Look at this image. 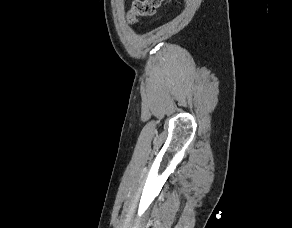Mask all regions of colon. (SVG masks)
I'll return each instance as SVG.
<instances>
[{
    "instance_id": "1",
    "label": "colon",
    "mask_w": 292,
    "mask_h": 228,
    "mask_svg": "<svg viewBox=\"0 0 292 228\" xmlns=\"http://www.w3.org/2000/svg\"><path fill=\"white\" fill-rule=\"evenodd\" d=\"M162 0H134L127 14V19L131 24L138 21L140 17L152 16L160 7Z\"/></svg>"
}]
</instances>
